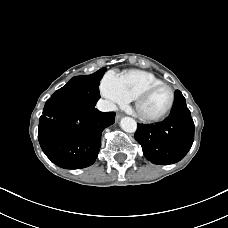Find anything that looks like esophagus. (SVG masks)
<instances>
[{
    "label": "esophagus",
    "instance_id": "obj_1",
    "mask_svg": "<svg viewBox=\"0 0 228 228\" xmlns=\"http://www.w3.org/2000/svg\"><path fill=\"white\" fill-rule=\"evenodd\" d=\"M121 117H122L121 114H116V121H119Z\"/></svg>",
    "mask_w": 228,
    "mask_h": 228
}]
</instances>
